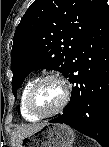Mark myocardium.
<instances>
[{
    "mask_svg": "<svg viewBox=\"0 0 109 147\" xmlns=\"http://www.w3.org/2000/svg\"><path fill=\"white\" fill-rule=\"evenodd\" d=\"M49 80L57 81L62 86L63 98H62L61 102L54 109H52L48 112H39L33 107L32 98H33L36 90L39 88V86L42 83L49 81ZM69 98H70V86H69L68 80L61 74L52 73V74L44 75V76L38 78L37 80H35V82L33 83V85L31 86V88L29 89V91L26 95L25 106H26L27 111L31 115H33L37 118H45V117L54 116V115L60 113L68 104Z\"/></svg>",
    "mask_w": 109,
    "mask_h": 147,
    "instance_id": "1",
    "label": "myocardium"
}]
</instances>
